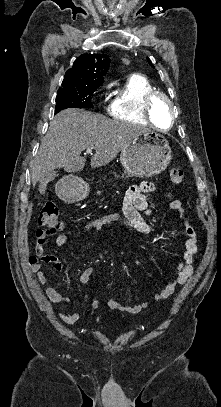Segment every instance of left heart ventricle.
Masks as SVG:
<instances>
[{
	"label": "left heart ventricle",
	"instance_id": "obj_1",
	"mask_svg": "<svg viewBox=\"0 0 221 407\" xmlns=\"http://www.w3.org/2000/svg\"><path fill=\"white\" fill-rule=\"evenodd\" d=\"M153 119L159 128H167L170 124L171 112L163 100H158L152 107Z\"/></svg>",
	"mask_w": 221,
	"mask_h": 407
}]
</instances>
